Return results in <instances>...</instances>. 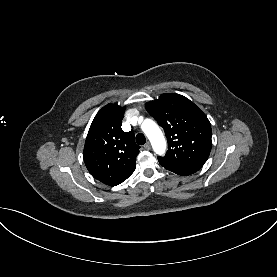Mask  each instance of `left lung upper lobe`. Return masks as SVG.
<instances>
[{"label": "left lung upper lobe", "mask_w": 277, "mask_h": 277, "mask_svg": "<svg viewBox=\"0 0 277 277\" xmlns=\"http://www.w3.org/2000/svg\"><path fill=\"white\" fill-rule=\"evenodd\" d=\"M147 111L164 129L168 151L158 157L168 170L198 171L209 157L211 125L206 115L188 98L173 93L147 102Z\"/></svg>", "instance_id": "5c2ea615"}]
</instances>
